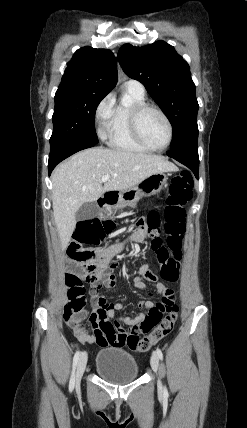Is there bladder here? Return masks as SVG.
<instances>
[{
  "instance_id": "obj_1",
  "label": "bladder",
  "mask_w": 247,
  "mask_h": 428,
  "mask_svg": "<svg viewBox=\"0 0 247 428\" xmlns=\"http://www.w3.org/2000/svg\"><path fill=\"white\" fill-rule=\"evenodd\" d=\"M97 374L113 384H126L139 376L136 358L122 348H107L99 351L95 361Z\"/></svg>"
}]
</instances>
